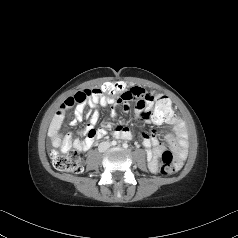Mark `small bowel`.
<instances>
[{
    "label": "small bowel",
    "instance_id": "c3829d8e",
    "mask_svg": "<svg viewBox=\"0 0 238 238\" xmlns=\"http://www.w3.org/2000/svg\"><path fill=\"white\" fill-rule=\"evenodd\" d=\"M155 99L156 97H154L153 94L147 92L143 88L133 86L128 88L123 93L119 103L123 105V109L125 111H128L129 102L135 101L137 103L139 114L145 120H153L154 122L160 124L162 122L149 117L147 114L150 110V106L154 103ZM66 100L62 103L60 109L56 112L49 127V135L52 139V145L54 147L60 148V150L64 153L68 152L72 147L79 151H87L92 147L96 140L101 139L106 135L105 129H95L94 127L99 120V107L107 105L115 106L116 103H106L105 96H101L99 94H93L88 101L76 102L74 108L75 119L72 121L73 125L82 120L85 106L87 104L93 109L92 113L90 114L89 124L83 131L80 132L81 136H83V139H79L72 138L71 136L62 137L59 134V130L64 121L65 111L71 107L65 105ZM112 115L116 116L115 109L112 110ZM167 122L172 125L173 132L166 134L165 138L176 154L177 158L179 160H182L186 156V149L188 144L186 127L183 121L176 114L171 120ZM114 135L117 138L127 140L133 138L131 129L125 126H116L114 129ZM142 143L143 146L147 149L149 169L155 172L158 168V159L164 152L165 146L159 142L154 134L150 135L147 133L142 134Z\"/></svg>",
    "mask_w": 238,
    "mask_h": 238
}]
</instances>
